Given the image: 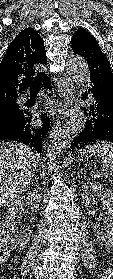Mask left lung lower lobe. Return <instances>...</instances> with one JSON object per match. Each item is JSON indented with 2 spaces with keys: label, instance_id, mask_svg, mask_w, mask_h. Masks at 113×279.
I'll use <instances>...</instances> for the list:
<instances>
[{
  "label": "left lung lower lobe",
  "instance_id": "left-lung-lower-lobe-1",
  "mask_svg": "<svg viewBox=\"0 0 113 279\" xmlns=\"http://www.w3.org/2000/svg\"><path fill=\"white\" fill-rule=\"evenodd\" d=\"M91 91L94 100L86 112V126L73 140L72 148L96 142L113 143V88L93 83Z\"/></svg>",
  "mask_w": 113,
  "mask_h": 279
}]
</instances>
